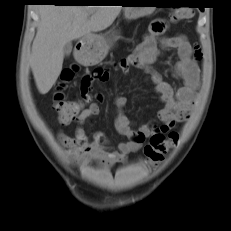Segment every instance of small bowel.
Here are the masks:
<instances>
[{
  "instance_id": "c3829d8e",
  "label": "small bowel",
  "mask_w": 231,
  "mask_h": 231,
  "mask_svg": "<svg viewBox=\"0 0 231 231\" xmlns=\"http://www.w3.org/2000/svg\"><path fill=\"white\" fill-rule=\"evenodd\" d=\"M167 24L158 19L151 23L148 34L135 46L133 53L116 64V68L127 73L131 67L143 69L149 73L155 84L156 93L163 104L158 112L160 125L150 126L143 124L137 129L124 112L127 104L125 96H117L114 100L116 107L115 127L126 140L119 142L115 148L108 145V141L101 132H96L90 140L82 126L85 122L99 114V105L95 102L75 119L78 125L74 137L62 132L58 134V141L65 160L71 164L82 167L91 163H98L106 169L115 164L124 163L130 153L138 151L144 141L155 133H166L174 126L186 120L195 104V93L199 85V68L197 61L200 51L194 48L183 35L164 38L161 44L165 48H174L178 52V62L175 68L177 77L183 80V85L173 88L162 77L151 69V65L161 54L158 47L159 37L166 31ZM109 73L103 68H98L84 76L81 83V93L84 99H89V92L94 81H107Z\"/></svg>"
}]
</instances>
